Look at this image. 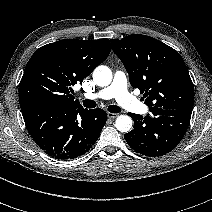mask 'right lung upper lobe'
I'll list each match as a JSON object with an SVG mask.
<instances>
[{"label":"right lung upper lobe","mask_w":212,"mask_h":212,"mask_svg":"<svg viewBox=\"0 0 212 212\" xmlns=\"http://www.w3.org/2000/svg\"><path fill=\"white\" fill-rule=\"evenodd\" d=\"M111 51L108 39H64L37 49L28 61L19 91L22 114L48 107H82L72 96Z\"/></svg>","instance_id":"right-lung-upper-lobe-1"}]
</instances>
